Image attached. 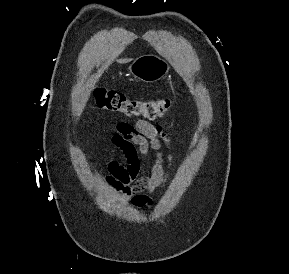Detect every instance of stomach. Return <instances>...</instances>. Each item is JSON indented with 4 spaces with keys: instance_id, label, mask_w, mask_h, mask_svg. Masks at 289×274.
I'll return each instance as SVG.
<instances>
[{
    "instance_id": "stomach-1",
    "label": "stomach",
    "mask_w": 289,
    "mask_h": 274,
    "mask_svg": "<svg viewBox=\"0 0 289 274\" xmlns=\"http://www.w3.org/2000/svg\"><path fill=\"white\" fill-rule=\"evenodd\" d=\"M169 68V63L163 58L154 54H146L138 57L130 64L129 72L136 79L153 83L164 78Z\"/></svg>"
}]
</instances>
